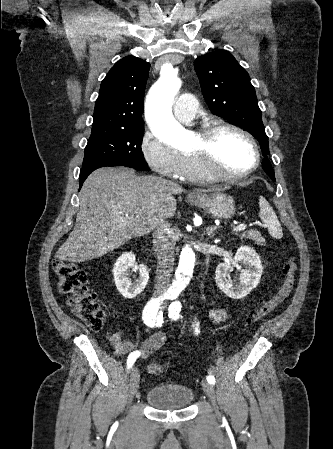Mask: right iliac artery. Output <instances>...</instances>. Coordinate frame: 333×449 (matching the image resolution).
Wrapping results in <instances>:
<instances>
[{
    "instance_id": "82829eb1",
    "label": "right iliac artery",
    "mask_w": 333,
    "mask_h": 449,
    "mask_svg": "<svg viewBox=\"0 0 333 449\" xmlns=\"http://www.w3.org/2000/svg\"><path fill=\"white\" fill-rule=\"evenodd\" d=\"M166 298V296L161 298H156L150 300L143 310L142 319L144 323L149 327L161 326L163 323V313L159 311L160 304ZM140 356L139 351H134L129 354L127 358V366L131 368L136 359Z\"/></svg>"
}]
</instances>
